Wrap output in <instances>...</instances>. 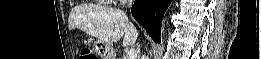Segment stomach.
I'll use <instances>...</instances> for the list:
<instances>
[{"mask_svg": "<svg viewBox=\"0 0 261 59\" xmlns=\"http://www.w3.org/2000/svg\"><path fill=\"white\" fill-rule=\"evenodd\" d=\"M95 51L101 59H115L109 43L98 40Z\"/></svg>", "mask_w": 261, "mask_h": 59, "instance_id": "0dacf381", "label": "stomach"}]
</instances>
